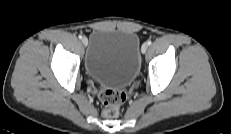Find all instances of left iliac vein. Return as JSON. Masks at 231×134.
Instances as JSON below:
<instances>
[{
  "label": "left iliac vein",
  "mask_w": 231,
  "mask_h": 134,
  "mask_svg": "<svg viewBox=\"0 0 231 134\" xmlns=\"http://www.w3.org/2000/svg\"><path fill=\"white\" fill-rule=\"evenodd\" d=\"M148 49V44L147 43H144L141 47V52L144 54Z\"/></svg>",
  "instance_id": "left-iliac-vein-1"
}]
</instances>
